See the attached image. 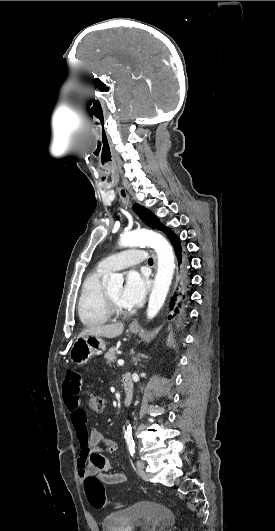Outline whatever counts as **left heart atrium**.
<instances>
[{
	"mask_svg": "<svg viewBox=\"0 0 275 531\" xmlns=\"http://www.w3.org/2000/svg\"><path fill=\"white\" fill-rule=\"evenodd\" d=\"M148 285V277L143 270L131 269L125 274V282L120 298L128 308L138 307L144 299Z\"/></svg>",
	"mask_w": 275,
	"mask_h": 531,
	"instance_id": "obj_1",
	"label": "left heart atrium"
}]
</instances>
